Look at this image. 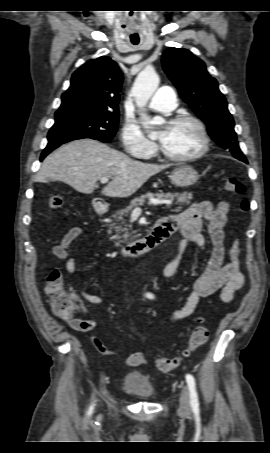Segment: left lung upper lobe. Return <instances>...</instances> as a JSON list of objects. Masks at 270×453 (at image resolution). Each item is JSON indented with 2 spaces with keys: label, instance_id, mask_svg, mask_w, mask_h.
I'll list each match as a JSON object with an SVG mask.
<instances>
[{
  "label": "left lung upper lobe",
  "instance_id": "left-lung-upper-lobe-1",
  "mask_svg": "<svg viewBox=\"0 0 270 453\" xmlns=\"http://www.w3.org/2000/svg\"><path fill=\"white\" fill-rule=\"evenodd\" d=\"M162 65L181 98L208 126L212 139L220 147L229 149L235 158H245L236 141L227 101L217 81L207 72L205 63L189 50L171 47L164 51Z\"/></svg>",
  "mask_w": 270,
  "mask_h": 453
}]
</instances>
